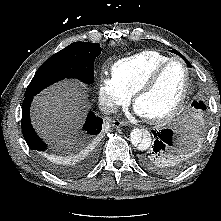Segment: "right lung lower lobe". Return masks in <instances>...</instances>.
Masks as SVG:
<instances>
[{"label":"right lung lower lobe","mask_w":221,"mask_h":221,"mask_svg":"<svg viewBox=\"0 0 221 221\" xmlns=\"http://www.w3.org/2000/svg\"><path fill=\"white\" fill-rule=\"evenodd\" d=\"M32 100L33 97L30 96L25 97L23 101L21 120L22 133L29 148L37 153L41 161H43L45 164H49L50 160L47 158L46 144L35 133L30 122L29 109ZM102 123V118L96 117L93 112H90L87 116L83 129L89 135H97L102 129Z\"/></svg>","instance_id":"obj_1"}]
</instances>
